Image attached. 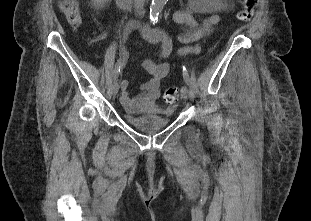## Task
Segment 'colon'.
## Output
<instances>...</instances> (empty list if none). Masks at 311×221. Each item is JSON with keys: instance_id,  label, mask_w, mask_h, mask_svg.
<instances>
[{"instance_id": "1", "label": "colon", "mask_w": 311, "mask_h": 221, "mask_svg": "<svg viewBox=\"0 0 311 221\" xmlns=\"http://www.w3.org/2000/svg\"><path fill=\"white\" fill-rule=\"evenodd\" d=\"M245 8L238 13V19L242 23H249L254 14L257 0H243ZM59 6L67 18L70 26L74 29L79 28L82 22V13L78 0H59ZM178 89L174 86L166 87L163 94V101L167 105H172L177 101Z\"/></svg>"}]
</instances>
